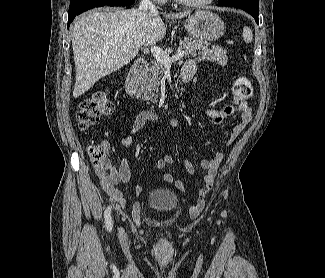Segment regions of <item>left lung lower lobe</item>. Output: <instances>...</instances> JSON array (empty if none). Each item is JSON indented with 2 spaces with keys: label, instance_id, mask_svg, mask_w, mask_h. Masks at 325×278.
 <instances>
[{
  "label": "left lung lower lobe",
  "instance_id": "1",
  "mask_svg": "<svg viewBox=\"0 0 325 278\" xmlns=\"http://www.w3.org/2000/svg\"><path fill=\"white\" fill-rule=\"evenodd\" d=\"M218 6H231L240 8L251 14L258 23L259 1L258 0H221Z\"/></svg>",
  "mask_w": 325,
  "mask_h": 278
}]
</instances>
